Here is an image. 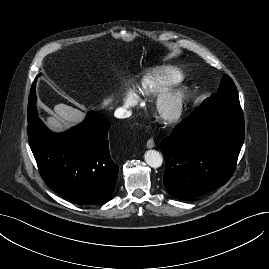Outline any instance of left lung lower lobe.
<instances>
[{
    "instance_id": "1",
    "label": "left lung lower lobe",
    "mask_w": 269,
    "mask_h": 269,
    "mask_svg": "<svg viewBox=\"0 0 269 269\" xmlns=\"http://www.w3.org/2000/svg\"><path fill=\"white\" fill-rule=\"evenodd\" d=\"M240 103L207 99L161 142L167 192L188 200L223 186L232 176L244 141Z\"/></svg>"
}]
</instances>
